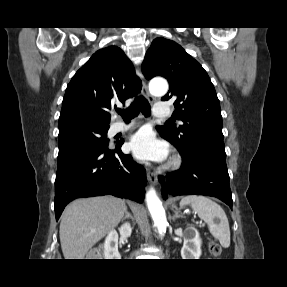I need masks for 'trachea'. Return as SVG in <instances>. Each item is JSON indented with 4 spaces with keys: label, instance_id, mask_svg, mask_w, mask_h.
I'll return each instance as SVG.
<instances>
[{
    "label": "trachea",
    "instance_id": "obj_1",
    "mask_svg": "<svg viewBox=\"0 0 287 287\" xmlns=\"http://www.w3.org/2000/svg\"><path fill=\"white\" fill-rule=\"evenodd\" d=\"M140 111H142V114L145 117H149L151 115L150 104L143 96L137 97L127 109H118L117 113L120 114L124 120H130L138 116ZM168 122H171V120H168Z\"/></svg>",
    "mask_w": 287,
    "mask_h": 287
}]
</instances>
